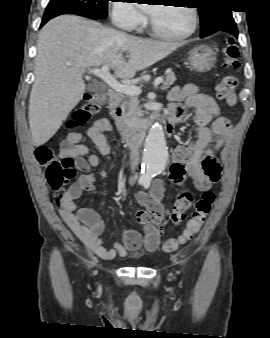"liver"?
I'll list each match as a JSON object with an SVG mask.
<instances>
[{"mask_svg":"<svg viewBox=\"0 0 270 338\" xmlns=\"http://www.w3.org/2000/svg\"><path fill=\"white\" fill-rule=\"evenodd\" d=\"M181 45L141 39L75 15L49 21L39 33L29 98L33 144L46 143L79 103L85 92L82 77L86 70L107 65L117 77L131 79ZM124 53H128V61Z\"/></svg>","mask_w":270,"mask_h":338,"instance_id":"liver-1","label":"liver"}]
</instances>
